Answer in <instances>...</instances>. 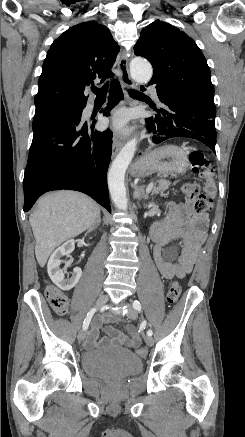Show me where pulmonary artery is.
<instances>
[{"label": "pulmonary artery", "mask_w": 245, "mask_h": 437, "mask_svg": "<svg viewBox=\"0 0 245 437\" xmlns=\"http://www.w3.org/2000/svg\"><path fill=\"white\" fill-rule=\"evenodd\" d=\"M149 90L152 92L153 96L155 97V99L158 100V96H157V91L154 87H150Z\"/></svg>", "instance_id": "1"}]
</instances>
